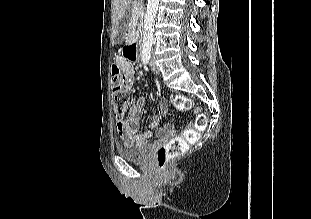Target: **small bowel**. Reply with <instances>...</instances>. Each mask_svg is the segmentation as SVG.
<instances>
[{
	"mask_svg": "<svg viewBox=\"0 0 311 219\" xmlns=\"http://www.w3.org/2000/svg\"><path fill=\"white\" fill-rule=\"evenodd\" d=\"M115 64L122 70L123 74L125 75V88L131 90L134 86L136 74L131 62L124 57L117 56L115 59ZM145 104L146 98L140 97L136 103L129 107L127 118L124 121H119L117 123L116 128L118 135L127 145H135L145 142L152 136L153 130L160 126L161 117L157 114H154L150 117L148 129L143 132H138L141 113ZM160 109L162 112L166 110V104L164 100L160 101ZM171 132L172 130L169 126L159 128V134L161 136H168Z\"/></svg>",
	"mask_w": 311,
	"mask_h": 219,
	"instance_id": "1",
	"label": "small bowel"
}]
</instances>
